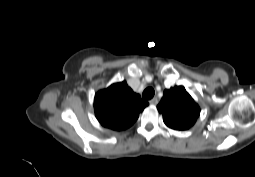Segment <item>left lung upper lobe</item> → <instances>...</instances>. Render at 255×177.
I'll list each match as a JSON object with an SVG mask.
<instances>
[{"instance_id": "1", "label": "left lung upper lobe", "mask_w": 255, "mask_h": 177, "mask_svg": "<svg viewBox=\"0 0 255 177\" xmlns=\"http://www.w3.org/2000/svg\"><path fill=\"white\" fill-rule=\"evenodd\" d=\"M157 109L164 123L174 130L191 128L200 114L199 106L183 86L166 89Z\"/></svg>"}]
</instances>
